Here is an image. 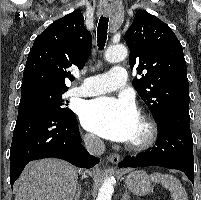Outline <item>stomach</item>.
I'll return each instance as SVG.
<instances>
[{"mask_svg": "<svg viewBox=\"0 0 201 200\" xmlns=\"http://www.w3.org/2000/svg\"><path fill=\"white\" fill-rule=\"evenodd\" d=\"M125 183L129 190L136 195H146L151 191L150 178L143 170L131 171L125 177Z\"/></svg>", "mask_w": 201, "mask_h": 200, "instance_id": "stomach-1", "label": "stomach"}]
</instances>
